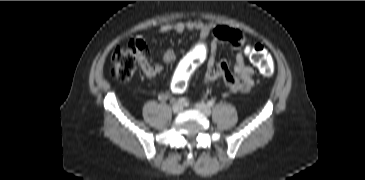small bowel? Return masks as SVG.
I'll return each mask as SVG.
<instances>
[{
    "label": "small bowel",
    "mask_w": 365,
    "mask_h": 180,
    "mask_svg": "<svg viewBox=\"0 0 365 180\" xmlns=\"http://www.w3.org/2000/svg\"><path fill=\"white\" fill-rule=\"evenodd\" d=\"M185 31L197 32L198 43L191 53L179 63L172 77L173 83L194 68L203 65L205 84L222 79L227 89L237 94L246 93L253 87L254 69L245 63L244 54L245 46L251 43L248 37L234 27L209 24L200 20L162 25L159 34ZM208 37H211L210 42L207 41ZM223 43L227 44L233 51L232 63L228 58L218 59L217 57L218 47ZM159 57L164 63L171 64L176 60V53L168 49L161 52ZM143 70L147 76L152 78L161 76L164 72L162 66L149 63L143 66ZM167 98L168 93L166 92L159 95V99L162 101Z\"/></svg>",
    "instance_id": "obj_1"
}]
</instances>
